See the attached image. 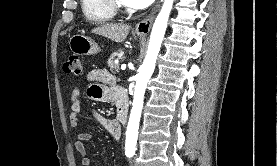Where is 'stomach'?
I'll use <instances>...</instances> for the list:
<instances>
[{"label":"stomach","mask_w":277,"mask_h":166,"mask_svg":"<svg viewBox=\"0 0 277 166\" xmlns=\"http://www.w3.org/2000/svg\"><path fill=\"white\" fill-rule=\"evenodd\" d=\"M138 37H142L137 33ZM69 46L71 51L77 55H95L100 52V47L90 37L82 34L73 35L70 38Z\"/></svg>","instance_id":"0dacf381"}]
</instances>
